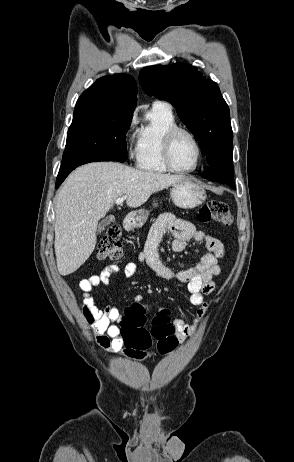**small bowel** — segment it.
Returning <instances> with one entry per match:
<instances>
[{"label": "small bowel", "instance_id": "obj_1", "mask_svg": "<svg viewBox=\"0 0 294 462\" xmlns=\"http://www.w3.org/2000/svg\"><path fill=\"white\" fill-rule=\"evenodd\" d=\"M165 233L173 236L171 244L174 252H182L191 240L204 243L207 252L200 261L186 269L174 271L161 260L159 247ZM224 255L221 241L213 236L198 231L193 223L182 220L170 213L161 215L152 226L146 247L138 256V262L147 266L159 278L167 281H177L186 285L190 294V302L198 306L196 319L187 323L180 317H174L172 324L178 341L183 342L192 337L199 321L207 311L204 296L215 289L214 277L220 274L219 259ZM137 270V263L130 262L125 265V277H133ZM119 271L117 265L106 266L99 274H94L80 281L82 291L83 313L87 322L95 333L96 344L109 352H120L129 360L140 361L145 358L143 351L128 347L122 337L120 324L122 314L116 306L107 305L100 308L96 305L92 291L98 286H107L110 277Z\"/></svg>", "mask_w": 294, "mask_h": 462}]
</instances>
